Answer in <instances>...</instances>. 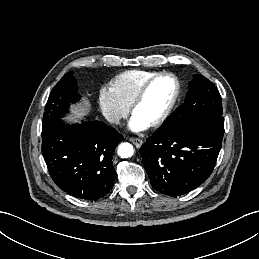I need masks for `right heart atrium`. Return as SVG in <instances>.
I'll return each mask as SVG.
<instances>
[{
    "label": "right heart atrium",
    "instance_id": "right-heart-atrium-1",
    "mask_svg": "<svg viewBox=\"0 0 259 259\" xmlns=\"http://www.w3.org/2000/svg\"><path fill=\"white\" fill-rule=\"evenodd\" d=\"M99 105L105 118L113 124H119L129 114V106L122 102L108 87L100 89Z\"/></svg>",
    "mask_w": 259,
    "mask_h": 259
}]
</instances>
